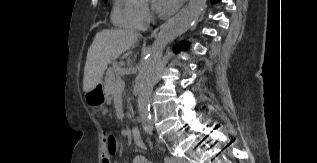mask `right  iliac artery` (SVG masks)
Here are the masks:
<instances>
[{"label": "right iliac artery", "instance_id": "obj_1", "mask_svg": "<svg viewBox=\"0 0 317 163\" xmlns=\"http://www.w3.org/2000/svg\"><path fill=\"white\" fill-rule=\"evenodd\" d=\"M164 162H165V163H170V160H169L167 157H165V158H164Z\"/></svg>", "mask_w": 317, "mask_h": 163}]
</instances>
